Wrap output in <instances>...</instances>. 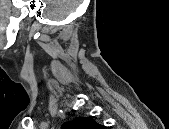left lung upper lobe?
Returning <instances> with one entry per match:
<instances>
[{"label":"left lung upper lobe","mask_w":169,"mask_h":129,"mask_svg":"<svg viewBox=\"0 0 169 129\" xmlns=\"http://www.w3.org/2000/svg\"><path fill=\"white\" fill-rule=\"evenodd\" d=\"M62 129H103V126L96 123L90 117H77L72 121L66 122L62 125Z\"/></svg>","instance_id":"1"}]
</instances>
